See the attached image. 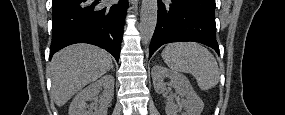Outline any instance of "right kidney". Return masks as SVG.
<instances>
[{
    "label": "right kidney",
    "mask_w": 285,
    "mask_h": 115,
    "mask_svg": "<svg viewBox=\"0 0 285 115\" xmlns=\"http://www.w3.org/2000/svg\"><path fill=\"white\" fill-rule=\"evenodd\" d=\"M102 88H104V91L99 98L98 105L94 108V112L87 110L86 101L96 100ZM113 96L114 77L112 75H105L74 97L69 107V115H107V109Z\"/></svg>",
    "instance_id": "1"
}]
</instances>
